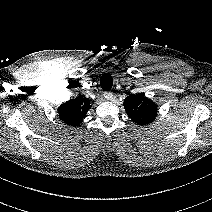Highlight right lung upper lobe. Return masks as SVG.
Listing matches in <instances>:
<instances>
[{
  "mask_svg": "<svg viewBox=\"0 0 212 212\" xmlns=\"http://www.w3.org/2000/svg\"><path fill=\"white\" fill-rule=\"evenodd\" d=\"M91 108L90 101L83 97L70 99L58 108L59 118L67 125L79 126Z\"/></svg>",
  "mask_w": 212,
  "mask_h": 212,
  "instance_id": "obj_1",
  "label": "right lung upper lobe"
}]
</instances>
